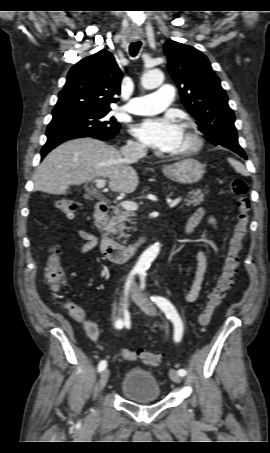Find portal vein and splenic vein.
<instances>
[{"label": "portal vein and splenic vein", "mask_w": 270, "mask_h": 453, "mask_svg": "<svg viewBox=\"0 0 270 453\" xmlns=\"http://www.w3.org/2000/svg\"><path fill=\"white\" fill-rule=\"evenodd\" d=\"M105 184H106V180H104V179L96 180V187L98 189L104 188ZM181 200H182V197H178L175 200L171 201L169 204L170 208L177 206L181 202ZM121 206L125 210H128V211H135L138 209V205L135 202H131V201H123V202H121Z\"/></svg>", "instance_id": "portal-vein-and-splenic-vein-1"}]
</instances>
